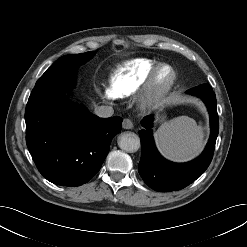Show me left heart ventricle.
<instances>
[{
    "label": "left heart ventricle",
    "mask_w": 247,
    "mask_h": 247,
    "mask_svg": "<svg viewBox=\"0 0 247 247\" xmlns=\"http://www.w3.org/2000/svg\"><path fill=\"white\" fill-rule=\"evenodd\" d=\"M169 77H170V71L168 69L162 70L157 79L158 85H163L164 83H166Z\"/></svg>",
    "instance_id": "left-heart-ventricle-1"
}]
</instances>
